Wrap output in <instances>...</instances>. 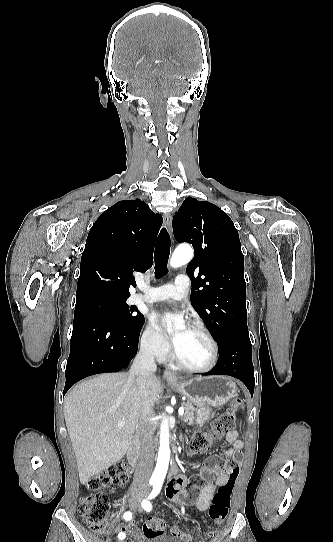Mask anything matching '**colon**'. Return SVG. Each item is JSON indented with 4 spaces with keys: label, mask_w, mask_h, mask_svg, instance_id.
Returning a JSON list of instances; mask_svg holds the SVG:
<instances>
[{
    "label": "colon",
    "mask_w": 333,
    "mask_h": 542,
    "mask_svg": "<svg viewBox=\"0 0 333 542\" xmlns=\"http://www.w3.org/2000/svg\"><path fill=\"white\" fill-rule=\"evenodd\" d=\"M242 401L234 399L230 408L223 411L212 423L207 431H196L189 441L188 451L192 454H203L207 452L214 441L220 439L227 433H233L235 430L236 413L242 409ZM221 464L229 475V481L223 484L216 492L212 504L209 508V516L216 525H221L227 517L231 504V497L240 472L239 459L221 458ZM129 469L121 471L118 464L111 465L104 469L98 475L90 478L87 485L96 491L106 488L115 491L128 478ZM190 484L193 487H199L203 484L200 475H193L190 478ZM109 508L107 497L104 493L86 495L79 504V514L95 533H103L106 528V514ZM212 531H214L212 529ZM166 526L163 520L159 518H150L143 525V534L147 539L164 538ZM174 537L177 539H186L180 529L174 531Z\"/></svg>",
    "instance_id": "5ec220e1"
}]
</instances>
